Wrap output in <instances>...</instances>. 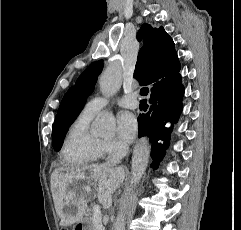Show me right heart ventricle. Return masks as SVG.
<instances>
[{"label": "right heart ventricle", "instance_id": "obj_1", "mask_svg": "<svg viewBox=\"0 0 241 230\" xmlns=\"http://www.w3.org/2000/svg\"><path fill=\"white\" fill-rule=\"evenodd\" d=\"M94 115L83 110L70 125L61 151L64 163L83 165L93 162L101 156V141L89 129Z\"/></svg>", "mask_w": 241, "mask_h": 230}]
</instances>
